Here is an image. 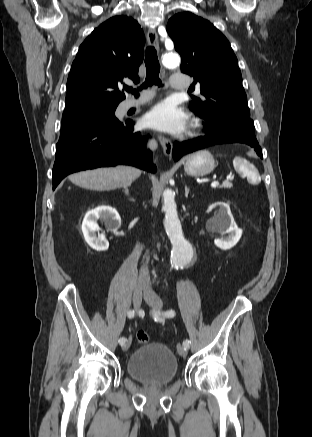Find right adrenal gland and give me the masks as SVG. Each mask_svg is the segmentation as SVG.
<instances>
[{
	"mask_svg": "<svg viewBox=\"0 0 312 437\" xmlns=\"http://www.w3.org/2000/svg\"><path fill=\"white\" fill-rule=\"evenodd\" d=\"M124 192H125L126 195H129V189H128V187H124Z\"/></svg>",
	"mask_w": 312,
	"mask_h": 437,
	"instance_id": "right-adrenal-gland-1",
	"label": "right adrenal gland"
}]
</instances>
